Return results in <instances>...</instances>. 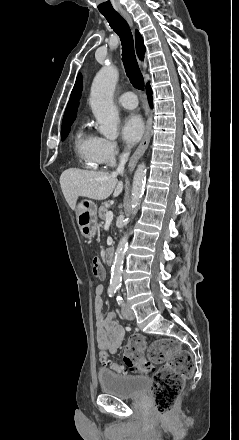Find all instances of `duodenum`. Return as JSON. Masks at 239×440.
<instances>
[{
    "mask_svg": "<svg viewBox=\"0 0 239 440\" xmlns=\"http://www.w3.org/2000/svg\"><path fill=\"white\" fill-rule=\"evenodd\" d=\"M105 258H106V262L108 264H111L113 262V259H114V249L113 248H108L106 250Z\"/></svg>",
    "mask_w": 239,
    "mask_h": 440,
    "instance_id": "obj_1",
    "label": "duodenum"
}]
</instances>
